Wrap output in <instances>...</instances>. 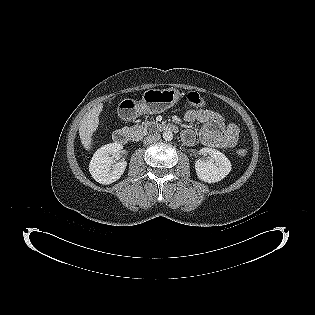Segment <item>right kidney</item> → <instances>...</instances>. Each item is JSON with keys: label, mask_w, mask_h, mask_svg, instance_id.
I'll return each instance as SVG.
<instances>
[{"label": "right kidney", "mask_w": 315, "mask_h": 315, "mask_svg": "<svg viewBox=\"0 0 315 315\" xmlns=\"http://www.w3.org/2000/svg\"><path fill=\"white\" fill-rule=\"evenodd\" d=\"M122 148L121 144L110 143L95 152L89 165V171L97 182L105 185L111 184L124 173L127 162L115 161Z\"/></svg>", "instance_id": "right-kidney-1"}]
</instances>
